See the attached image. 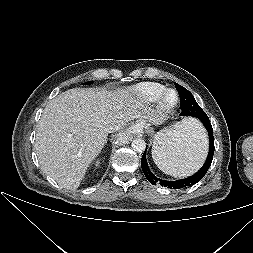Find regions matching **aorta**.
Here are the masks:
<instances>
[{
  "label": "aorta",
  "mask_w": 253,
  "mask_h": 253,
  "mask_svg": "<svg viewBox=\"0 0 253 253\" xmlns=\"http://www.w3.org/2000/svg\"><path fill=\"white\" fill-rule=\"evenodd\" d=\"M131 146L135 152L142 153L146 148V143L143 139L136 138L132 141Z\"/></svg>",
  "instance_id": "1"
}]
</instances>
